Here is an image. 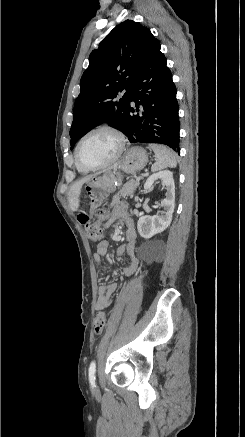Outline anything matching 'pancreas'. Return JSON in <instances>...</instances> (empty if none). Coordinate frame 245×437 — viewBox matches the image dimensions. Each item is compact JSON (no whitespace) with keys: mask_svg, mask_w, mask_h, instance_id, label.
<instances>
[{"mask_svg":"<svg viewBox=\"0 0 245 437\" xmlns=\"http://www.w3.org/2000/svg\"><path fill=\"white\" fill-rule=\"evenodd\" d=\"M139 186V181L130 180L124 184L121 190L113 197L111 206L117 204L121 197L126 198L128 196L133 195L136 188Z\"/></svg>","mask_w":245,"mask_h":437,"instance_id":"obj_1","label":"pancreas"}]
</instances>
